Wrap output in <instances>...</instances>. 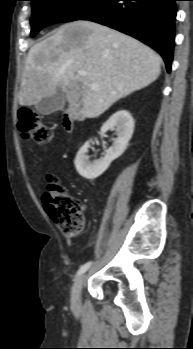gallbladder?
I'll use <instances>...</instances> for the list:
<instances>
[{"instance_id":"gallbladder-1","label":"gallbladder","mask_w":193,"mask_h":349,"mask_svg":"<svg viewBox=\"0 0 193 349\" xmlns=\"http://www.w3.org/2000/svg\"><path fill=\"white\" fill-rule=\"evenodd\" d=\"M65 104V94L61 89L58 92L51 96L41 99L38 103L35 104V109L38 113L42 115H50L58 110H61Z\"/></svg>"}]
</instances>
